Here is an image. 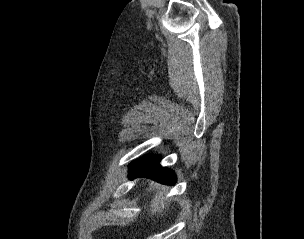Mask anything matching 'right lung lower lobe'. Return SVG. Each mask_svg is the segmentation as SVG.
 Instances as JSON below:
<instances>
[{
	"label": "right lung lower lobe",
	"instance_id": "1",
	"mask_svg": "<svg viewBox=\"0 0 304 239\" xmlns=\"http://www.w3.org/2000/svg\"><path fill=\"white\" fill-rule=\"evenodd\" d=\"M130 178L148 177L163 184H175L176 176L172 170L159 165V157L149 156L133 162L130 166Z\"/></svg>",
	"mask_w": 304,
	"mask_h": 239
}]
</instances>
